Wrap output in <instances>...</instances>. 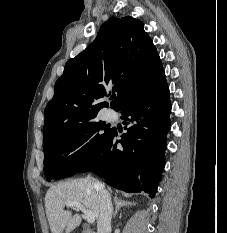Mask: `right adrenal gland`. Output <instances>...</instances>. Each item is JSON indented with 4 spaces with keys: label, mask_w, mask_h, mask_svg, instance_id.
<instances>
[{
    "label": "right adrenal gland",
    "mask_w": 227,
    "mask_h": 233,
    "mask_svg": "<svg viewBox=\"0 0 227 233\" xmlns=\"http://www.w3.org/2000/svg\"><path fill=\"white\" fill-rule=\"evenodd\" d=\"M114 202L116 207H115V212L113 213V218H115L120 208L134 205V203L132 202H127L122 199H118L117 197L114 198Z\"/></svg>",
    "instance_id": "1"
}]
</instances>
